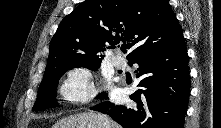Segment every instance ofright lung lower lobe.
<instances>
[{
	"label": "right lung lower lobe",
	"mask_w": 221,
	"mask_h": 128,
	"mask_svg": "<svg viewBox=\"0 0 221 128\" xmlns=\"http://www.w3.org/2000/svg\"><path fill=\"white\" fill-rule=\"evenodd\" d=\"M184 38L170 47L140 55L141 89L130 95L131 105L103 102L92 110L109 115L123 128H183L190 94V74ZM108 99L105 94L100 99Z\"/></svg>",
	"instance_id": "98d812e1"
}]
</instances>
